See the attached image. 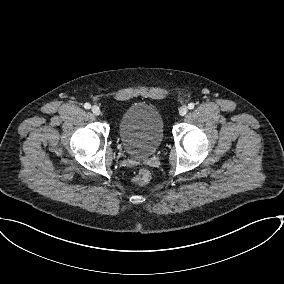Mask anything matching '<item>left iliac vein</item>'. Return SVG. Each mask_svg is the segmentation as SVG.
<instances>
[{
    "instance_id": "4c4485c4",
    "label": "left iliac vein",
    "mask_w": 284,
    "mask_h": 284,
    "mask_svg": "<svg viewBox=\"0 0 284 284\" xmlns=\"http://www.w3.org/2000/svg\"><path fill=\"white\" fill-rule=\"evenodd\" d=\"M187 112H188V108H187L186 106H182V107L179 109V114H180L181 116L186 115Z\"/></svg>"
}]
</instances>
